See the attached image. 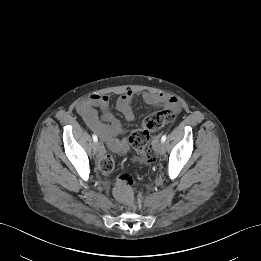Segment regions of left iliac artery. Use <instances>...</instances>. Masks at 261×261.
<instances>
[{
  "mask_svg": "<svg viewBox=\"0 0 261 261\" xmlns=\"http://www.w3.org/2000/svg\"><path fill=\"white\" fill-rule=\"evenodd\" d=\"M161 141H162V142H165V141H166V135H163V136H162Z\"/></svg>",
  "mask_w": 261,
  "mask_h": 261,
  "instance_id": "44dca946",
  "label": "left iliac artery"
}]
</instances>
